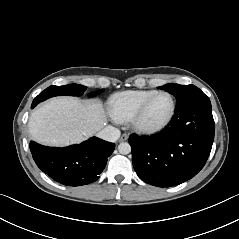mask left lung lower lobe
I'll return each mask as SVG.
<instances>
[{"label":"left lung lower lobe","mask_w":239,"mask_h":239,"mask_svg":"<svg viewBox=\"0 0 239 239\" xmlns=\"http://www.w3.org/2000/svg\"><path fill=\"white\" fill-rule=\"evenodd\" d=\"M215 123L209 98L180 109L160 133L131 135L132 162L137 175L158 187L181 184L205 165L214 140Z\"/></svg>","instance_id":"1"}]
</instances>
